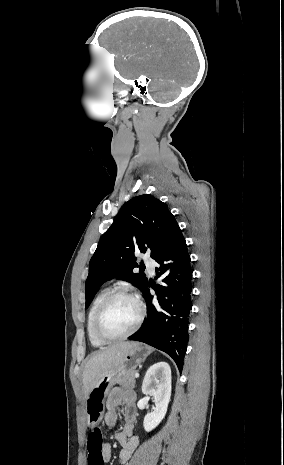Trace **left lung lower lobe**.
Masks as SVG:
<instances>
[{
    "label": "left lung lower lobe",
    "mask_w": 284,
    "mask_h": 465,
    "mask_svg": "<svg viewBox=\"0 0 284 465\" xmlns=\"http://www.w3.org/2000/svg\"><path fill=\"white\" fill-rule=\"evenodd\" d=\"M155 261L157 278L163 285L152 286L148 281L142 288L148 317L129 340L149 344L169 354L182 370L189 340V314L192 309V268L182 230L178 228L164 252ZM149 287L157 294L153 300Z\"/></svg>",
    "instance_id": "1"
}]
</instances>
